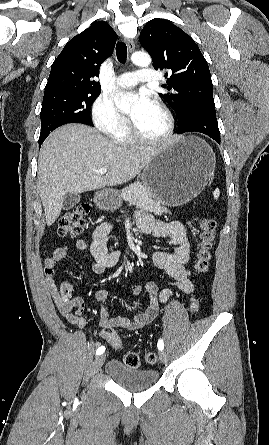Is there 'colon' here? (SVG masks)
<instances>
[{"label":"colon","mask_w":269,"mask_h":445,"mask_svg":"<svg viewBox=\"0 0 269 445\" xmlns=\"http://www.w3.org/2000/svg\"><path fill=\"white\" fill-rule=\"evenodd\" d=\"M89 211L90 208L87 204H80L66 212L59 220L58 234L61 237L71 238L79 236L87 225ZM215 231L216 222L214 219L205 217L200 220V235L195 255V271L200 275H205L209 270ZM46 271L49 276H52V270L46 269ZM63 288L66 291L71 289L69 285H64ZM199 306L200 300L198 298H192L190 300V311H197ZM105 337L107 342H110L114 347L119 348L121 346L120 338L114 330L106 331ZM123 360L127 366L132 368H137L140 365V357L136 352L126 353ZM145 360L148 364L153 365L157 363L158 357L156 353L148 352L145 356Z\"/></svg>","instance_id":"5ec220e1"}]
</instances>
